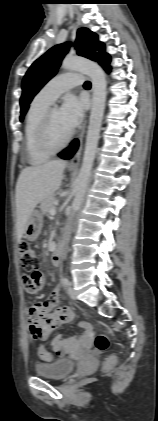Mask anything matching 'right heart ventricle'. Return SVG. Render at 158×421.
I'll use <instances>...</instances> for the list:
<instances>
[{
  "label": "right heart ventricle",
  "instance_id": "right-heart-ventricle-1",
  "mask_svg": "<svg viewBox=\"0 0 158 421\" xmlns=\"http://www.w3.org/2000/svg\"><path fill=\"white\" fill-rule=\"evenodd\" d=\"M50 102L40 98L38 95L31 102L24 127L25 151L28 161L32 165H39L47 161L52 153L45 151L39 143V127L44 113L49 108Z\"/></svg>",
  "mask_w": 158,
  "mask_h": 421
}]
</instances>
